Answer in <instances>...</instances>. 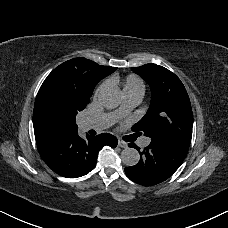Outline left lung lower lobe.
Wrapping results in <instances>:
<instances>
[{
    "mask_svg": "<svg viewBox=\"0 0 228 228\" xmlns=\"http://www.w3.org/2000/svg\"><path fill=\"white\" fill-rule=\"evenodd\" d=\"M139 151L140 160L135 166L126 167V175L134 182L151 186L168 179L184 161L188 148L185 145L165 140L151 138L150 144L140 151L134 143L129 144Z\"/></svg>",
    "mask_w": 228,
    "mask_h": 228,
    "instance_id": "left-lung-lower-lobe-1",
    "label": "left lung lower lobe"
}]
</instances>
